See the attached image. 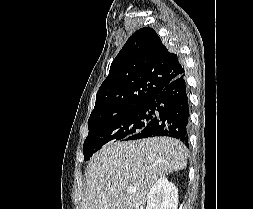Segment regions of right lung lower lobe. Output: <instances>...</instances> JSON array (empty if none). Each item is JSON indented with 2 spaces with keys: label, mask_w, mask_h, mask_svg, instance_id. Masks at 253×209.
Listing matches in <instances>:
<instances>
[{
  "label": "right lung lower lobe",
  "mask_w": 253,
  "mask_h": 209,
  "mask_svg": "<svg viewBox=\"0 0 253 209\" xmlns=\"http://www.w3.org/2000/svg\"><path fill=\"white\" fill-rule=\"evenodd\" d=\"M186 87L184 73L171 81L149 104L154 111L153 118L128 140L168 136L179 139L188 147L189 103Z\"/></svg>",
  "instance_id": "right-lung-lower-lobe-1"
}]
</instances>
